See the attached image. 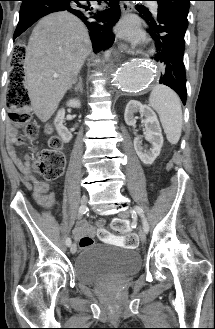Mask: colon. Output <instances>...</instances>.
Listing matches in <instances>:
<instances>
[{"label":"colon","instance_id":"colon-1","mask_svg":"<svg viewBox=\"0 0 215 329\" xmlns=\"http://www.w3.org/2000/svg\"><path fill=\"white\" fill-rule=\"evenodd\" d=\"M16 55L11 56L10 67L12 68L10 84L7 90V106L10 110L11 121L24 128V137L33 140L38 134V127L31 119L30 98L24 84V73L26 56L22 47L15 50ZM59 138L52 137L48 148H43L35 155L33 170L44 179L52 181L59 178L64 171L65 157L60 150ZM112 228L115 232L122 234V245L134 249L138 245V238L133 233H128V223L125 220L116 218L112 221ZM111 235V234H109ZM100 237V236H99ZM93 239L89 235L81 238L80 244L85 247L92 244Z\"/></svg>","mask_w":215,"mask_h":329}]
</instances>
